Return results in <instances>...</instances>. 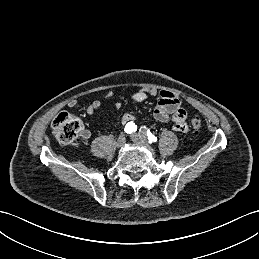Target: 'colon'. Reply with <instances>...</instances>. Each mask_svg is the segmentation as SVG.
<instances>
[{
	"instance_id": "1",
	"label": "colon",
	"mask_w": 259,
	"mask_h": 259,
	"mask_svg": "<svg viewBox=\"0 0 259 259\" xmlns=\"http://www.w3.org/2000/svg\"><path fill=\"white\" fill-rule=\"evenodd\" d=\"M202 128L199 118L191 121V129L198 133ZM83 129V123L80 118L69 113H60L52 124L53 134L56 140L62 144L72 143Z\"/></svg>"
}]
</instances>
